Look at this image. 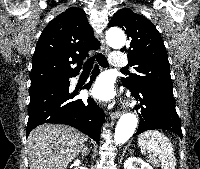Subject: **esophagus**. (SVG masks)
I'll list each match as a JSON object with an SVG mask.
<instances>
[{
  "label": "esophagus",
  "instance_id": "obj_1",
  "mask_svg": "<svg viewBox=\"0 0 200 169\" xmlns=\"http://www.w3.org/2000/svg\"><path fill=\"white\" fill-rule=\"evenodd\" d=\"M100 42H101V45H102V48H103L105 54L107 55L110 52V49H109L108 45L106 44L103 35H101V37H100ZM110 116H111L112 119L119 118L120 113L119 112H112L110 114Z\"/></svg>",
  "mask_w": 200,
  "mask_h": 169
}]
</instances>
